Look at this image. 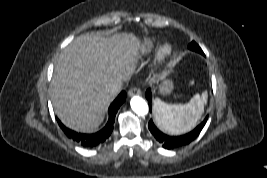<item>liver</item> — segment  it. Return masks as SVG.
<instances>
[{
  "label": "liver",
  "instance_id": "obj_1",
  "mask_svg": "<svg viewBox=\"0 0 267 178\" xmlns=\"http://www.w3.org/2000/svg\"><path fill=\"white\" fill-rule=\"evenodd\" d=\"M141 51L132 33L105 38L92 32L72 40L61 52L51 82V100L61 122L83 133L97 129L115 96L108 86L128 80Z\"/></svg>",
  "mask_w": 267,
  "mask_h": 178
}]
</instances>
